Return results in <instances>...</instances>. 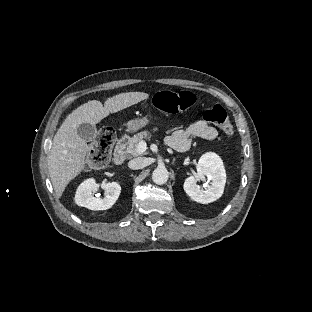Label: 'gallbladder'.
<instances>
[{
    "instance_id": "gallbladder-1",
    "label": "gallbladder",
    "mask_w": 312,
    "mask_h": 312,
    "mask_svg": "<svg viewBox=\"0 0 312 312\" xmlns=\"http://www.w3.org/2000/svg\"><path fill=\"white\" fill-rule=\"evenodd\" d=\"M96 127L90 123H83L77 127V134L86 142H92L96 138Z\"/></svg>"
}]
</instances>
